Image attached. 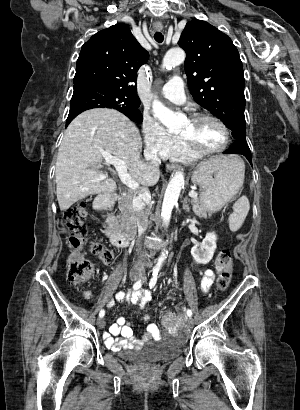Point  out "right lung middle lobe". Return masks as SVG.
Segmentation results:
<instances>
[{
	"label": "right lung middle lobe",
	"mask_w": 300,
	"mask_h": 410,
	"mask_svg": "<svg viewBox=\"0 0 300 410\" xmlns=\"http://www.w3.org/2000/svg\"><path fill=\"white\" fill-rule=\"evenodd\" d=\"M98 107L117 109L134 121L142 122L143 117L123 94L108 88L89 83L74 84V92L70 102L67 120L75 118L81 112Z\"/></svg>",
	"instance_id": "right-lung-middle-lobe-1"
}]
</instances>
